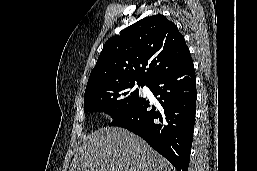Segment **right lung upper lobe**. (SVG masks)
Wrapping results in <instances>:
<instances>
[{
    "label": "right lung upper lobe",
    "instance_id": "right-lung-upper-lobe-1",
    "mask_svg": "<svg viewBox=\"0 0 257 171\" xmlns=\"http://www.w3.org/2000/svg\"><path fill=\"white\" fill-rule=\"evenodd\" d=\"M190 60L185 39L173 22L161 14L146 17L106 41L85 92L126 82L148 83Z\"/></svg>",
    "mask_w": 257,
    "mask_h": 171
}]
</instances>
